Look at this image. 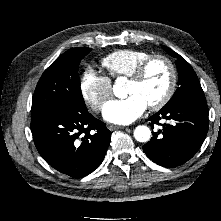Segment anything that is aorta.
Here are the masks:
<instances>
[{"instance_id":"1","label":"aorta","mask_w":221,"mask_h":221,"mask_svg":"<svg viewBox=\"0 0 221 221\" xmlns=\"http://www.w3.org/2000/svg\"><path fill=\"white\" fill-rule=\"evenodd\" d=\"M113 92L116 96H120L121 93L126 92L121 79L116 80L115 85L113 86ZM134 137L139 142H147L151 138V130L145 125L137 126L134 130Z\"/></svg>"}]
</instances>
